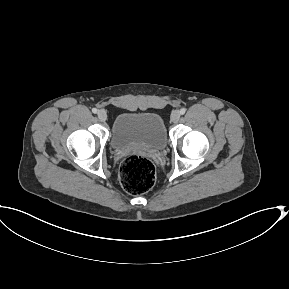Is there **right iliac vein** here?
Here are the masks:
<instances>
[{"label":"right iliac vein","mask_w":289,"mask_h":289,"mask_svg":"<svg viewBox=\"0 0 289 289\" xmlns=\"http://www.w3.org/2000/svg\"><path fill=\"white\" fill-rule=\"evenodd\" d=\"M97 116H98L99 120L102 122L106 121V119H107V114L104 110H99L97 112Z\"/></svg>","instance_id":"obj_1"}]
</instances>
